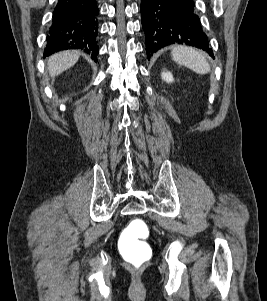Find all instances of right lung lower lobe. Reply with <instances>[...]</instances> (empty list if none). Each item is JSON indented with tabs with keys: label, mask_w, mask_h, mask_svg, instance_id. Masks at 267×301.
I'll use <instances>...</instances> for the list:
<instances>
[{
	"label": "right lung lower lobe",
	"mask_w": 267,
	"mask_h": 301,
	"mask_svg": "<svg viewBox=\"0 0 267 301\" xmlns=\"http://www.w3.org/2000/svg\"><path fill=\"white\" fill-rule=\"evenodd\" d=\"M97 0H59L47 35L44 57L66 49H81L96 60Z\"/></svg>",
	"instance_id": "98d812e1"
}]
</instances>
